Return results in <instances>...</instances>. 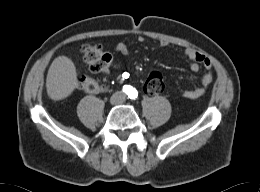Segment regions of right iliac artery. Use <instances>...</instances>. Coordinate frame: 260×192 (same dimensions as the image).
Here are the masks:
<instances>
[{
	"instance_id": "obj_1",
	"label": "right iliac artery",
	"mask_w": 260,
	"mask_h": 192,
	"mask_svg": "<svg viewBox=\"0 0 260 192\" xmlns=\"http://www.w3.org/2000/svg\"><path fill=\"white\" fill-rule=\"evenodd\" d=\"M122 91L126 94H129L131 91V87L128 85L123 86Z\"/></svg>"
}]
</instances>
